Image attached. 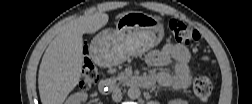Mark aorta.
<instances>
[{"label":"aorta","instance_id":"aorta-1","mask_svg":"<svg viewBox=\"0 0 252 104\" xmlns=\"http://www.w3.org/2000/svg\"><path fill=\"white\" fill-rule=\"evenodd\" d=\"M128 97L132 100L138 99L141 95V91L138 87L132 86L128 89Z\"/></svg>","mask_w":252,"mask_h":104}]
</instances>
